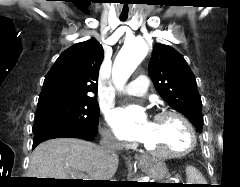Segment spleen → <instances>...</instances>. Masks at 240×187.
<instances>
[{
  "label": "spleen",
  "mask_w": 240,
  "mask_h": 187,
  "mask_svg": "<svg viewBox=\"0 0 240 187\" xmlns=\"http://www.w3.org/2000/svg\"><path fill=\"white\" fill-rule=\"evenodd\" d=\"M187 181L189 184H205L202 174L193 166L186 167Z\"/></svg>",
  "instance_id": "obj_1"
}]
</instances>
